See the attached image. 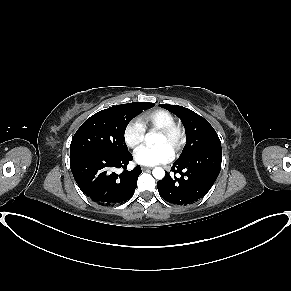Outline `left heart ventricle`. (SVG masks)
Returning a JSON list of instances; mask_svg holds the SVG:
<instances>
[{"label":"left heart ventricle","mask_w":291,"mask_h":291,"mask_svg":"<svg viewBox=\"0 0 291 291\" xmlns=\"http://www.w3.org/2000/svg\"><path fill=\"white\" fill-rule=\"evenodd\" d=\"M155 144H156V145L165 144V145H167V146L170 147V144H169L167 138H166L164 135H162L161 133H159V134L157 135V139H156V141H155ZM170 148H171V147H170Z\"/></svg>","instance_id":"obj_1"}]
</instances>
